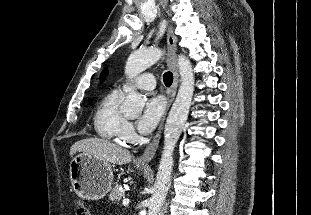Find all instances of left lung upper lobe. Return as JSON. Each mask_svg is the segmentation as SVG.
Returning <instances> with one entry per match:
<instances>
[{
  "label": "left lung upper lobe",
  "mask_w": 311,
  "mask_h": 215,
  "mask_svg": "<svg viewBox=\"0 0 311 215\" xmlns=\"http://www.w3.org/2000/svg\"><path fill=\"white\" fill-rule=\"evenodd\" d=\"M107 75V70L105 69V70H103V72H102V79H104L105 78V76Z\"/></svg>",
  "instance_id": "5c2ea615"
}]
</instances>
